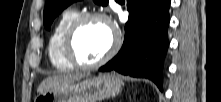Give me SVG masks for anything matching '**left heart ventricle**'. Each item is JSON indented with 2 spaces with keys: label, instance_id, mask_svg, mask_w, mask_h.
Returning a JSON list of instances; mask_svg holds the SVG:
<instances>
[{
  "label": "left heart ventricle",
  "instance_id": "b2bd125f",
  "mask_svg": "<svg viewBox=\"0 0 221 102\" xmlns=\"http://www.w3.org/2000/svg\"><path fill=\"white\" fill-rule=\"evenodd\" d=\"M112 33L109 26L99 20H89L78 29L74 38V54L81 62L100 59L110 48Z\"/></svg>",
  "mask_w": 221,
  "mask_h": 102
}]
</instances>
